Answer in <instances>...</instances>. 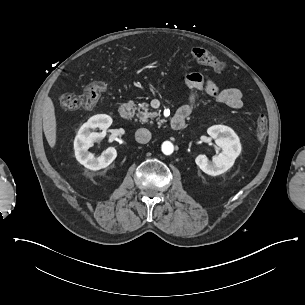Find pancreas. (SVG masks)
<instances>
[{"label":"pancreas","instance_id":"obj_1","mask_svg":"<svg viewBox=\"0 0 305 305\" xmlns=\"http://www.w3.org/2000/svg\"><path fill=\"white\" fill-rule=\"evenodd\" d=\"M139 107L141 109H138L137 117L140 119L141 122H149V124L153 126V120H159V112L153 111L152 109L149 110L148 103H141L139 104Z\"/></svg>","mask_w":305,"mask_h":305}]
</instances>
